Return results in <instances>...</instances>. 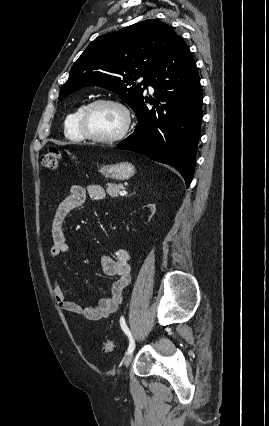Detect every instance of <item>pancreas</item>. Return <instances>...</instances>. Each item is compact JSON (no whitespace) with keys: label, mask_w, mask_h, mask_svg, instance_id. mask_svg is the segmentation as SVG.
Instances as JSON below:
<instances>
[{"label":"pancreas","mask_w":269,"mask_h":426,"mask_svg":"<svg viewBox=\"0 0 269 426\" xmlns=\"http://www.w3.org/2000/svg\"><path fill=\"white\" fill-rule=\"evenodd\" d=\"M107 186L108 187H107L106 191L109 194V196H111L112 198L118 197L121 190L124 189L122 184L109 183Z\"/></svg>","instance_id":"1"}]
</instances>
